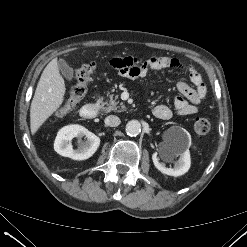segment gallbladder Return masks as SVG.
I'll return each mask as SVG.
<instances>
[{"label": "gallbladder", "mask_w": 247, "mask_h": 247, "mask_svg": "<svg viewBox=\"0 0 247 247\" xmlns=\"http://www.w3.org/2000/svg\"><path fill=\"white\" fill-rule=\"evenodd\" d=\"M58 67L62 73V75L68 79L71 80L73 77V69L66 63L65 60L59 59L58 60Z\"/></svg>", "instance_id": "gallbladder-1"}]
</instances>
